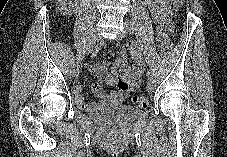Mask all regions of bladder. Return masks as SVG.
I'll return each instance as SVG.
<instances>
[{
  "instance_id": "1",
  "label": "bladder",
  "mask_w": 227,
  "mask_h": 157,
  "mask_svg": "<svg viewBox=\"0 0 227 157\" xmlns=\"http://www.w3.org/2000/svg\"><path fill=\"white\" fill-rule=\"evenodd\" d=\"M143 110L136 106L111 104L90 113V116L107 125H124L137 119Z\"/></svg>"
}]
</instances>
